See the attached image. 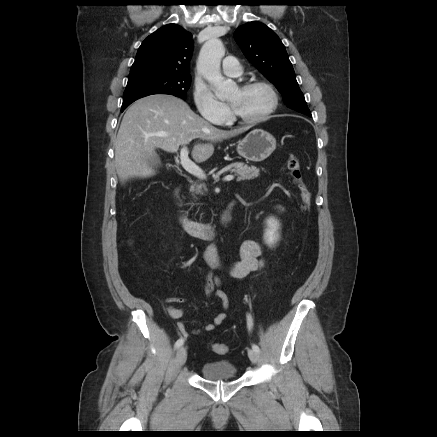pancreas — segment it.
Listing matches in <instances>:
<instances>
[{"label": "pancreas", "instance_id": "pancreas-1", "mask_svg": "<svg viewBox=\"0 0 437 437\" xmlns=\"http://www.w3.org/2000/svg\"><path fill=\"white\" fill-rule=\"evenodd\" d=\"M230 172L235 173L237 177V181L241 180H251L259 176L260 170L255 166H248L244 163H235L233 168L230 169ZM205 189L203 184H195L191 186L190 191L192 193L202 194V189Z\"/></svg>", "mask_w": 437, "mask_h": 437}]
</instances>
